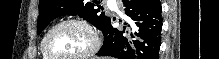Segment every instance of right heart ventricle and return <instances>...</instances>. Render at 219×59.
<instances>
[{
	"instance_id": "e07e8e85",
	"label": "right heart ventricle",
	"mask_w": 219,
	"mask_h": 59,
	"mask_svg": "<svg viewBox=\"0 0 219 59\" xmlns=\"http://www.w3.org/2000/svg\"><path fill=\"white\" fill-rule=\"evenodd\" d=\"M40 50H41L42 59H50L48 56H46V54L42 50V46L41 45H40Z\"/></svg>"
}]
</instances>
